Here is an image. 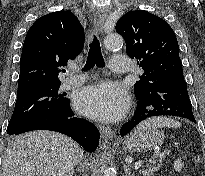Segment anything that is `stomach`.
<instances>
[{
  "mask_svg": "<svg viewBox=\"0 0 205 176\" xmlns=\"http://www.w3.org/2000/svg\"><path fill=\"white\" fill-rule=\"evenodd\" d=\"M165 135L154 127L136 128L123 141L124 152H147L163 144Z\"/></svg>",
  "mask_w": 205,
  "mask_h": 176,
  "instance_id": "stomach-1",
  "label": "stomach"
}]
</instances>
